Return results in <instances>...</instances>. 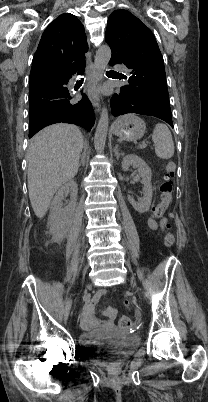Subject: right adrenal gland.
I'll list each match as a JSON object with an SVG mask.
<instances>
[{
	"mask_svg": "<svg viewBox=\"0 0 208 402\" xmlns=\"http://www.w3.org/2000/svg\"><path fill=\"white\" fill-rule=\"evenodd\" d=\"M85 152H86V150H84L82 156H80L81 160H80L79 166H83V162H84V160H85Z\"/></svg>",
	"mask_w": 208,
	"mask_h": 402,
	"instance_id": "right-adrenal-gland-1",
	"label": "right adrenal gland"
}]
</instances>
